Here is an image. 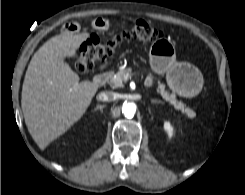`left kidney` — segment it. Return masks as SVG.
<instances>
[{
	"mask_svg": "<svg viewBox=\"0 0 245 195\" xmlns=\"http://www.w3.org/2000/svg\"><path fill=\"white\" fill-rule=\"evenodd\" d=\"M164 130L167 132L169 138H172L173 137V135H174V128L170 124V122H168V121L164 122Z\"/></svg>",
	"mask_w": 245,
	"mask_h": 195,
	"instance_id": "1",
	"label": "left kidney"
}]
</instances>
